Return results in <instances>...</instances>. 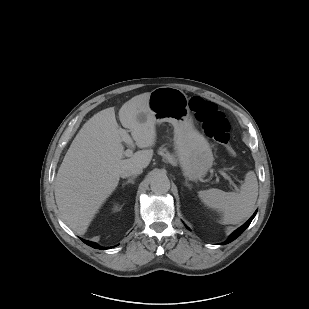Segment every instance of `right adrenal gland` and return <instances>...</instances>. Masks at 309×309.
<instances>
[{"label":"right adrenal gland","instance_id":"1","mask_svg":"<svg viewBox=\"0 0 309 309\" xmlns=\"http://www.w3.org/2000/svg\"><path fill=\"white\" fill-rule=\"evenodd\" d=\"M137 176H132L131 178H129L126 182H124L122 184V186L124 187L125 185L131 183V184H134V179L136 178Z\"/></svg>","mask_w":309,"mask_h":309}]
</instances>
